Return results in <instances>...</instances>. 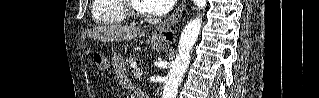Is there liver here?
Here are the masks:
<instances>
[{
	"instance_id": "obj_1",
	"label": "liver",
	"mask_w": 319,
	"mask_h": 98,
	"mask_svg": "<svg viewBox=\"0 0 319 98\" xmlns=\"http://www.w3.org/2000/svg\"><path fill=\"white\" fill-rule=\"evenodd\" d=\"M144 31L121 25H102L88 30L84 33V37H90L98 41H119V40H132L144 36Z\"/></svg>"
}]
</instances>
